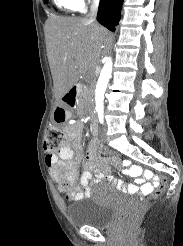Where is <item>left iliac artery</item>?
<instances>
[{
	"label": "left iliac artery",
	"mask_w": 183,
	"mask_h": 246,
	"mask_svg": "<svg viewBox=\"0 0 183 246\" xmlns=\"http://www.w3.org/2000/svg\"><path fill=\"white\" fill-rule=\"evenodd\" d=\"M98 118H99L100 123L103 124V122H104V111H103V109L98 110Z\"/></svg>",
	"instance_id": "left-iliac-artery-1"
}]
</instances>
